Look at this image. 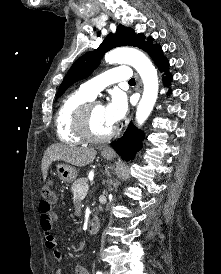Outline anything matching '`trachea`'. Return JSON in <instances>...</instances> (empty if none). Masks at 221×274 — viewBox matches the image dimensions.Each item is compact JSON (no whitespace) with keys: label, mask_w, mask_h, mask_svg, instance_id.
<instances>
[{"label":"trachea","mask_w":221,"mask_h":274,"mask_svg":"<svg viewBox=\"0 0 221 274\" xmlns=\"http://www.w3.org/2000/svg\"><path fill=\"white\" fill-rule=\"evenodd\" d=\"M129 83H130V84H131V83H135V79H134V78L130 79V80H129Z\"/></svg>","instance_id":"obj_1"}]
</instances>
